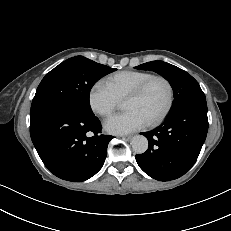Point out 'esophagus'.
<instances>
[{
    "label": "esophagus",
    "mask_w": 231,
    "mask_h": 231,
    "mask_svg": "<svg viewBox=\"0 0 231 231\" xmlns=\"http://www.w3.org/2000/svg\"><path fill=\"white\" fill-rule=\"evenodd\" d=\"M131 138H132L131 135L122 136V139H124V140H130Z\"/></svg>",
    "instance_id": "34e87169"
}]
</instances>
